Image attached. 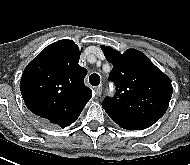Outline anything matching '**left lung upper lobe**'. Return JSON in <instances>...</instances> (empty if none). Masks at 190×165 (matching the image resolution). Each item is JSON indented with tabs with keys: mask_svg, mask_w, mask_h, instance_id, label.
I'll list each match as a JSON object with an SVG mask.
<instances>
[{
	"mask_svg": "<svg viewBox=\"0 0 190 165\" xmlns=\"http://www.w3.org/2000/svg\"><path fill=\"white\" fill-rule=\"evenodd\" d=\"M101 49L113 64L109 79L116 85L115 96L106 97L102 107L125 129L150 127L169 106L173 92L170 78L138 50L128 49L121 54L108 46Z\"/></svg>",
	"mask_w": 190,
	"mask_h": 165,
	"instance_id": "left-lung-upper-lobe-1",
	"label": "left lung upper lobe"
}]
</instances>
